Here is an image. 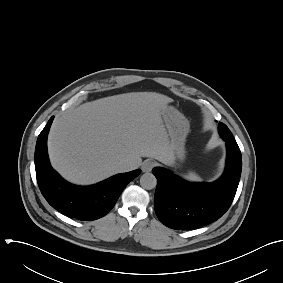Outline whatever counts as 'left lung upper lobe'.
<instances>
[{
  "label": "left lung upper lobe",
  "mask_w": 283,
  "mask_h": 283,
  "mask_svg": "<svg viewBox=\"0 0 283 283\" xmlns=\"http://www.w3.org/2000/svg\"><path fill=\"white\" fill-rule=\"evenodd\" d=\"M218 128H219V134L222 138L234 139L232 133L225 124L219 122Z\"/></svg>",
  "instance_id": "obj_1"
}]
</instances>
